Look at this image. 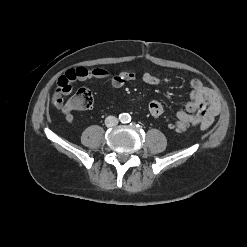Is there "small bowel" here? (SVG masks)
Listing matches in <instances>:
<instances>
[{
	"label": "small bowel",
	"mask_w": 247,
	"mask_h": 247,
	"mask_svg": "<svg viewBox=\"0 0 247 247\" xmlns=\"http://www.w3.org/2000/svg\"><path fill=\"white\" fill-rule=\"evenodd\" d=\"M92 78L108 80L113 87L121 88L126 82L136 80L137 74L132 71L115 73L105 68L87 69L85 67H78L65 72L58 79L57 88L53 95V103L61 110L68 122L73 121V111L75 109L70 105L69 101L64 102L62 96L72 92L73 83ZM141 79L149 85H160L168 82L167 78H159L150 72L144 73ZM190 87V101L187 103L185 110L176 112V117L179 121L185 122L190 126H199L201 129H207L219 114V99L216 93L204 86L199 79H192ZM148 110L154 118H158L164 113L162 104L156 100L149 102Z\"/></svg>",
	"instance_id": "obj_1"
}]
</instances>
